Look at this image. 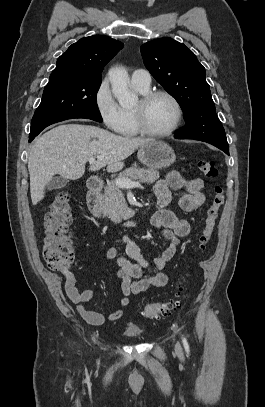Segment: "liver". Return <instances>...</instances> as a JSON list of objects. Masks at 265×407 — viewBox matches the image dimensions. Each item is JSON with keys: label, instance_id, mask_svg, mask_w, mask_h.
Segmentation results:
<instances>
[{"label": "liver", "instance_id": "1", "mask_svg": "<svg viewBox=\"0 0 265 407\" xmlns=\"http://www.w3.org/2000/svg\"><path fill=\"white\" fill-rule=\"evenodd\" d=\"M151 141L122 137L92 125L65 124L47 131L36 139L29 153L32 204L37 205L44 198V189L54 175L79 179L91 157L97 161L90 165V171L105 166L108 171H119L126 158Z\"/></svg>", "mask_w": 265, "mask_h": 407}]
</instances>
